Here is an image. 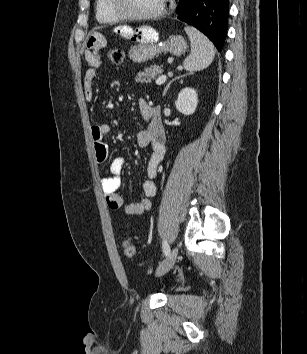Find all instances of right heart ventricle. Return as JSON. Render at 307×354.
Wrapping results in <instances>:
<instances>
[{
	"label": "right heart ventricle",
	"mask_w": 307,
	"mask_h": 354,
	"mask_svg": "<svg viewBox=\"0 0 307 354\" xmlns=\"http://www.w3.org/2000/svg\"><path fill=\"white\" fill-rule=\"evenodd\" d=\"M95 16L97 21L102 24H112L120 20L110 10L109 0H96Z\"/></svg>",
	"instance_id": "e07e8e85"
}]
</instances>
